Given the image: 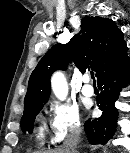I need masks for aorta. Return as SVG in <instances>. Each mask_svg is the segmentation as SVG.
Masks as SVG:
<instances>
[{
    "label": "aorta",
    "instance_id": "762f6f07",
    "mask_svg": "<svg viewBox=\"0 0 130 153\" xmlns=\"http://www.w3.org/2000/svg\"><path fill=\"white\" fill-rule=\"evenodd\" d=\"M51 87L55 96L63 101L68 95V83L62 72H55L51 78Z\"/></svg>",
    "mask_w": 130,
    "mask_h": 153
}]
</instances>
